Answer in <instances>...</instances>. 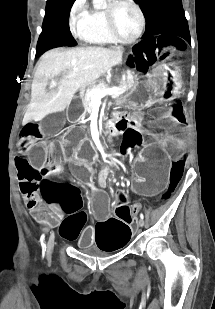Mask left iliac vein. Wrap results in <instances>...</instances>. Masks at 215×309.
<instances>
[{"label":"left iliac vein","mask_w":215,"mask_h":309,"mask_svg":"<svg viewBox=\"0 0 215 309\" xmlns=\"http://www.w3.org/2000/svg\"><path fill=\"white\" fill-rule=\"evenodd\" d=\"M138 225H139L140 227H142V226L144 225V220H143V219H139Z\"/></svg>","instance_id":"4c4485c4"}]
</instances>
